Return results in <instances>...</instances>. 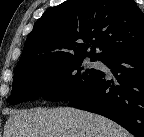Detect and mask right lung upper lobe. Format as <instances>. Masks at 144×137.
Here are the masks:
<instances>
[{"label": "right lung upper lobe", "instance_id": "cb5924a9", "mask_svg": "<svg viewBox=\"0 0 144 137\" xmlns=\"http://www.w3.org/2000/svg\"><path fill=\"white\" fill-rule=\"evenodd\" d=\"M143 44L144 14L134 0H67L37 20L17 66L67 57L103 62Z\"/></svg>", "mask_w": 144, "mask_h": 137}]
</instances>
